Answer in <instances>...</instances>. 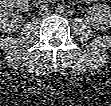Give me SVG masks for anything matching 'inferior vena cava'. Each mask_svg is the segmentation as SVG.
<instances>
[{"mask_svg": "<svg viewBox=\"0 0 111 106\" xmlns=\"http://www.w3.org/2000/svg\"><path fill=\"white\" fill-rule=\"evenodd\" d=\"M51 10V7L48 4H41L39 7V14L44 15L46 13H49Z\"/></svg>", "mask_w": 111, "mask_h": 106, "instance_id": "1", "label": "inferior vena cava"}]
</instances>
